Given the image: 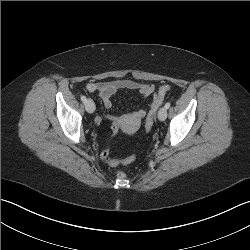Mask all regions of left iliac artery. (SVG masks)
Returning a JSON list of instances; mask_svg holds the SVG:
<instances>
[{"mask_svg":"<svg viewBox=\"0 0 250 250\" xmlns=\"http://www.w3.org/2000/svg\"><path fill=\"white\" fill-rule=\"evenodd\" d=\"M166 109H168L170 107V103H166L165 106H164Z\"/></svg>","mask_w":250,"mask_h":250,"instance_id":"left-iliac-artery-1","label":"left iliac artery"}]
</instances>
